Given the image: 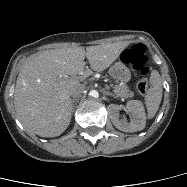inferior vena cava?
Instances as JSON below:
<instances>
[{"instance_id":"1","label":"inferior vena cava","mask_w":187,"mask_h":187,"mask_svg":"<svg viewBox=\"0 0 187 187\" xmlns=\"http://www.w3.org/2000/svg\"><path fill=\"white\" fill-rule=\"evenodd\" d=\"M83 90H84V86L82 84H77L71 90V96L77 97L83 92Z\"/></svg>"}]
</instances>
